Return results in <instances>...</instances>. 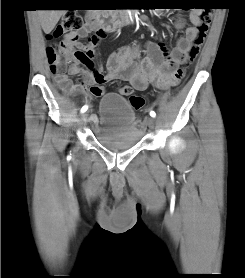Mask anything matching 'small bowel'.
I'll return each instance as SVG.
<instances>
[{"instance_id":"c3829d8e","label":"small bowel","mask_w":245,"mask_h":278,"mask_svg":"<svg viewBox=\"0 0 245 278\" xmlns=\"http://www.w3.org/2000/svg\"><path fill=\"white\" fill-rule=\"evenodd\" d=\"M199 14L192 12L190 20L192 27L186 28L185 36H181L173 49H168L163 41L147 42L145 44L148 56L142 61H135L136 50L128 47L120 48L112 53L108 59L106 72L100 65L92 61L93 48L106 36V32L94 28L91 24L84 26L79 32L68 34L63 42L87 52V59L83 62H72L63 78L69 84H63L61 78L55 80L59 88L68 94L76 90H85L90 98H97L104 94L103 84L112 81H128L137 91H144L149 86L158 88L171 86L176 80V73L173 68L185 63L186 56L192 44L197 38V23ZM185 25L183 19H178L175 23L176 29H181ZM94 32L91 34V32ZM79 38H86V43H80ZM185 74L186 68H181L179 74ZM79 75L81 82H72L70 76ZM94 119V118H93Z\"/></svg>"}]
</instances>
